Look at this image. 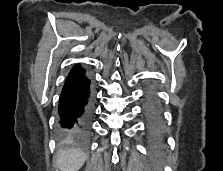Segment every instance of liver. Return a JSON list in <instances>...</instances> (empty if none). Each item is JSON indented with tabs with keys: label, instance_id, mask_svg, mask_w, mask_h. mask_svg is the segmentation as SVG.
Listing matches in <instances>:
<instances>
[{
	"label": "liver",
	"instance_id": "1",
	"mask_svg": "<svg viewBox=\"0 0 223 171\" xmlns=\"http://www.w3.org/2000/svg\"><path fill=\"white\" fill-rule=\"evenodd\" d=\"M85 153L76 149H63L56 158V166L61 171H78L86 161Z\"/></svg>",
	"mask_w": 223,
	"mask_h": 171
}]
</instances>
